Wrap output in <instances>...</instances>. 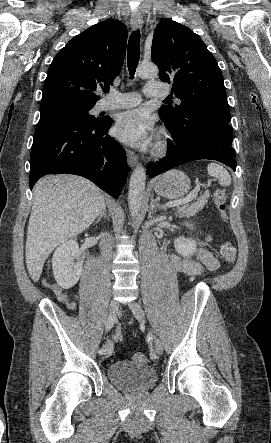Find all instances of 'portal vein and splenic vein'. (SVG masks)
Wrapping results in <instances>:
<instances>
[{"label":"portal vein and splenic vein","instance_id":"18ae733b","mask_svg":"<svg viewBox=\"0 0 271 443\" xmlns=\"http://www.w3.org/2000/svg\"><path fill=\"white\" fill-rule=\"evenodd\" d=\"M197 197V189H191L187 193V198H182V200H175V202H167L166 208H173V206H180V204H188Z\"/></svg>","mask_w":271,"mask_h":443}]
</instances>
